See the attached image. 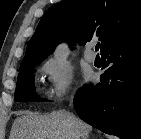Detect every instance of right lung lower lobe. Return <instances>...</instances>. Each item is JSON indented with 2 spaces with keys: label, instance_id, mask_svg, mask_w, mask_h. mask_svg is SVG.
I'll return each instance as SVG.
<instances>
[{
  "label": "right lung lower lobe",
  "instance_id": "1",
  "mask_svg": "<svg viewBox=\"0 0 141 139\" xmlns=\"http://www.w3.org/2000/svg\"><path fill=\"white\" fill-rule=\"evenodd\" d=\"M105 72L74 98L79 117L122 139H141V35L105 50Z\"/></svg>",
  "mask_w": 141,
  "mask_h": 139
}]
</instances>
